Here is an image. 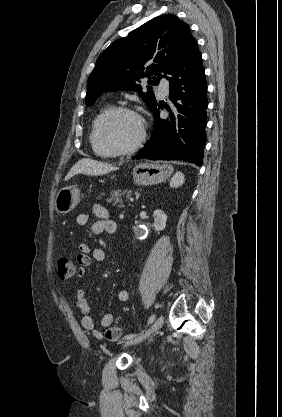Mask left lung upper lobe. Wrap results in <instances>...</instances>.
<instances>
[{
    "mask_svg": "<svg viewBox=\"0 0 282 417\" xmlns=\"http://www.w3.org/2000/svg\"><path fill=\"white\" fill-rule=\"evenodd\" d=\"M194 40L187 23L175 15H162L146 22L127 37L113 42L99 56L88 79L86 105H93L103 92L134 90L139 91L151 110L157 105L154 93L142 92L138 82L147 77L150 85H157L160 73L167 74L183 49Z\"/></svg>",
    "mask_w": 282,
    "mask_h": 417,
    "instance_id": "1",
    "label": "left lung upper lobe"
}]
</instances>
